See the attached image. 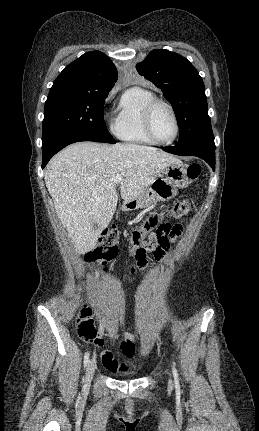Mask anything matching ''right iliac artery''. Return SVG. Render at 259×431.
<instances>
[{
    "mask_svg": "<svg viewBox=\"0 0 259 431\" xmlns=\"http://www.w3.org/2000/svg\"><path fill=\"white\" fill-rule=\"evenodd\" d=\"M89 362V353H86L84 356V366L86 367Z\"/></svg>",
    "mask_w": 259,
    "mask_h": 431,
    "instance_id": "82829eb1",
    "label": "right iliac artery"
}]
</instances>
